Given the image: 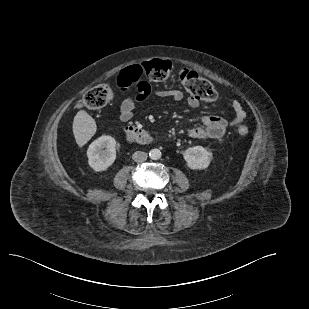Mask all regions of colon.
Listing matches in <instances>:
<instances>
[{"label": "colon", "instance_id": "1", "mask_svg": "<svg viewBox=\"0 0 309 309\" xmlns=\"http://www.w3.org/2000/svg\"><path fill=\"white\" fill-rule=\"evenodd\" d=\"M173 72V65L170 61L155 59L143 65L128 67L123 72L125 80L132 84L143 83V76L152 81H164ZM179 79L184 89L196 99L213 102L217 99L215 87L197 72L184 68L179 74ZM113 98L111 88L106 84L97 85L87 91L80 103L81 107L88 109H99L107 105ZM237 132L240 136L248 133V128L244 125L239 126Z\"/></svg>", "mask_w": 309, "mask_h": 309}]
</instances>
